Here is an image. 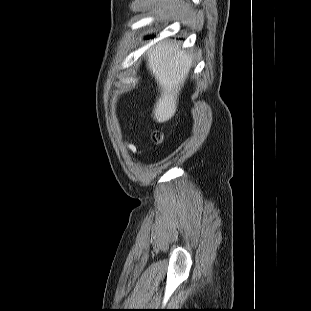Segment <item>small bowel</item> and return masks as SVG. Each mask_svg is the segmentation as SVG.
<instances>
[{
    "label": "small bowel",
    "mask_w": 311,
    "mask_h": 311,
    "mask_svg": "<svg viewBox=\"0 0 311 311\" xmlns=\"http://www.w3.org/2000/svg\"><path fill=\"white\" fill-rule=\"evenodd\" d=\"M126 147L132 153H137L138 152L137 148L134 145L130 144V143H126Z\"/></svg>",
    "instance_id": "obj_1"
}]
</instances>
